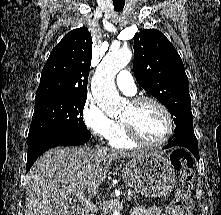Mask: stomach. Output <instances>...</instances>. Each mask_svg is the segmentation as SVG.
I'll use <instances>...</instances> for the list:
<instances>
[{
  "label": "stomach",
  "mask_w": 221,
  "mask_h": 215,
  "mask_svg": "<svg viewBox=\"0 0 221 215\" xmlns=\"http://www.w3.org/2000/svg\"><path fill=\"white\" fill-rule=\"evenodd\" d=\"M122 177L126 184L148 198L168 195L176 183L172 163L157 152L131 159L124 166Z\"/></svg>",
  "instance_id": "0dacf381"
}]
</instances>
